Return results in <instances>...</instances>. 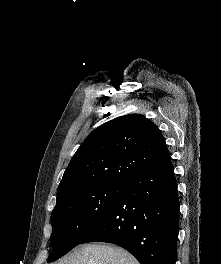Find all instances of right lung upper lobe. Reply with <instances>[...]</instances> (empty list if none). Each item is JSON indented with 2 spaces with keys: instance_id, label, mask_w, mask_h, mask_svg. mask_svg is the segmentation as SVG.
I'll list each match as a JSON object with an SVG mask.
<instances>
[{
  "instance_id": "obj_1",
  "label": "right lung upper lobe",
  "mask_w": 221,
  "mask_h": 264,
  "mask_svg": "<svg viewBox=\"0 0 221 264\" xmlns=\"http://www.w3.org/2000/svg\"><path fill=\"white\" fill-rule=\"evenodd\" d=\"M171 162L157 126L140 114L115 118L91 132L71 159L57 189V204L108 182H127Z\"/></svg>"
}]
</instances>
